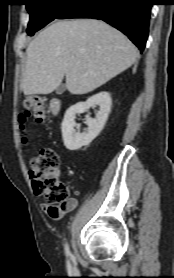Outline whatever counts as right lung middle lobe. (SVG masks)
I'll use <instances>...</instances> for the list:
<instances>
[{
    "instance_id": "right-lung-middle-lobe-1",
    "label": "right lung middle lobe",
    "mask_w": 174,
    "mask_h": 278,
    "mask_svg": "<svg viewBox=\"0 0 174 278\" xmlns=\"http://www.w3.org/2000/svg\"><path fill=\"white\" fill-rule=\"evenodd\" d=\"M77 0H26L30 14L27 34L33 36L36 31L60 16Z\"/></svg>"
}]
</instances>
